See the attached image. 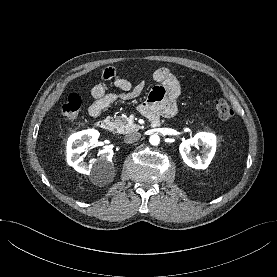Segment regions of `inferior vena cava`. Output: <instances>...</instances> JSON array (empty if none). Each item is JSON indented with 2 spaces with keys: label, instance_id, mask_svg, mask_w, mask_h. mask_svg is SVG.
Returning <instances> with one entry per match:
<instances>
[{
  "label": "inferior vena cava",
  "instance_id": "obj_1",
  "mask_svg": "<svg viewBox=\"0 0 277 277\" xmlns=\"http://www.w3.org/2000/svg\"><path fill=\"white\" fill-rule=\"evenodd\" d=\"M141 137V134L138 133V132H132V133H128L124 136V141L126 143H134L136 142L137 140H139Z\"/></svg>",
  "mask_w": 277,
  "mask_h": 277
}]
</instances>
